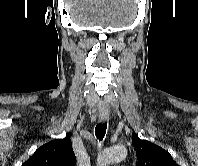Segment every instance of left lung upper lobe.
Returning <instances> with one entry per match:
<instances>
[{
	"label": "left lung upper lobe",
	"instance_id": "left-lung-upper-lobe-1",
	"mask_svg": "<svg viewBox=\"0 0 198 166\" xmlns=\"http://www.w3.org/2000/svg\"><path fill=\"white\" fill-rule=\"evenodd\" d=\"M132 144L137 153V166H178L166 150L147 140L139 139L137 134L133 135Z\"/></svg>",
	"mask_w": 198,
	"mask_h": 166
}]
</instances>
